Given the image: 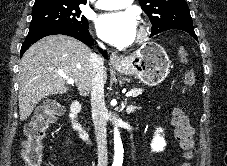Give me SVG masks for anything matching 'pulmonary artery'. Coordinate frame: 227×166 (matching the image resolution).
<instances>
[{
    "mask_svg": "<svg viewBox=\"0 0 227 166\" xmlns=\"http://www.w3.org/2000/svg\"><path fill=\"white\" fill-rule=\"evenodd\" d=\"M133 0H97L96 7L103 10H116L129 6Z\"/></svg>",
    "mask_w": 227,
    "mask_h": 166,
    "instance_id": "obj_1",
    "label": "pulmonary artery"
}]
</instances>
